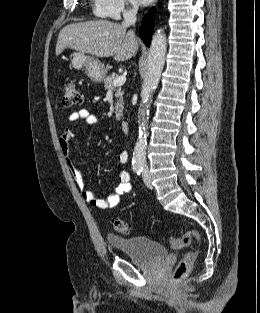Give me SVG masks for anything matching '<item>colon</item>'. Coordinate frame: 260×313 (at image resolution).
<instances>
[{
    "mask_svg": "<svg viewBox=\"0 0 260 313\" xmlns=\"http://www.w3.org/2000/svg\"><path fill=\"white\" fill-rule=\"evenodd\" d=\"M81 102L82 95L77 84L74 82H67L63 89V104L67 107H71L80 105ZM112 226L117 233L123 235H130L132 233V226L124 220L113 219ZM193 239L196 240L197 246L186 252L177 264L172 278L173 283H178L190 273L193 264L199 256L201 236L197 230L190 229L178 237H171L169 240L170 246L173 249H181L189 246Z\"/></svg>",
    "mask_w": 260,
    "mask_h": 313,
    "instance_id": "1",
    "label": "colon"
}]
</instances>
